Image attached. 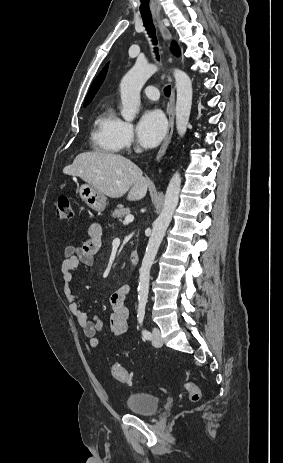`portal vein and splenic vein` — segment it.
Listing matches in <instances>:
<instances>
[{
  "label": "portal vein and splenic vein",
  "instance_id": "18ae733b",
  "mask_svg": "<svg viewBox=\"0 0 283 463\" xmlns=\"http://www.w3.org/2000/svg\"><path fill=\"white\" fill-rule=\"evenodd\" d=\"M133 220H134V216L131 215V214H128V215L125 217L123 223H124V224H128V223L132 222Z\"/></svg>",
  "mask_w": 283,
  "mask_h": 463
}]
</instances>
